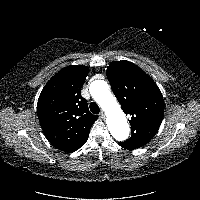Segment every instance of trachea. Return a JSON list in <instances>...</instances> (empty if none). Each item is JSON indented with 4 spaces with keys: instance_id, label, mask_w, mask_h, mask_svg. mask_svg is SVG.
<instances>
[{
    "instance_id": "3493384b",
    "label": "trachea",
    "mask_w": 200,
    "mask_h": 200,
    "mask_svg": "<svg viewBox=\"0 0 200 200\" xmlns=\"http://www.w3.org/2000/svg\"><path fill=\"white\" fill-rule=\"evenodd\" d=\"M90 111L93 113V114H98L100 112V108L99 106L95 103V102H92L90 104Z\"/></svg>"
}]
</instances>
